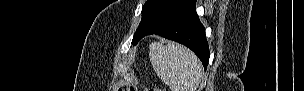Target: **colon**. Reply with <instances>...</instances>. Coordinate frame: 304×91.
I'll use <instances>...</instances> for the list:
<instances>
[{"label":"colon","instance_id":"1","mask_svg":"<svg viewBox=\"0 0 304 91\" xmlns=\"http://www.w3.org/2000/svg\"><path fill=\"white\" fill-rule=\"evenodd\" d=\"M120 90H122V89H120ZM130 90H135V89H133V88H131ZM146 90H148V91H161V89L160 88H158V87H149V88H146Z\"/></svg>","mask_w":304,"mask_h":91}]
</instances>
